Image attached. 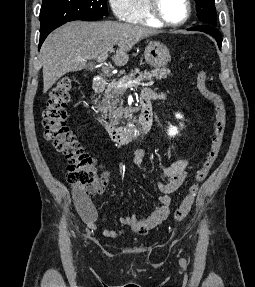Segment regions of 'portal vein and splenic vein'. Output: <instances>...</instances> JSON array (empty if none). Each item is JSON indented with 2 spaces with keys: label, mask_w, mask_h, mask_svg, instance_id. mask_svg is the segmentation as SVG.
Segmentation results:
<instances>
[{
  "label": "portal vein and splenic vein",
  "mask_w": 255,
  "mask_h": 287,
  "mask_svg": "<svg viewBox=\"0 0 255 287\" xmlns=\"http://www.w3.org/2000/svg\"><path fill=\"white\" fill-rule=\"evenodd\" d=\"M108 58V52L105 54H100L97 58V62L99 64H104L105 60ZM83 62H87V60H83ZM104 74H109V70L103 68ZM154 82H147V84H141L140 80H131V82H118L117 88H137V86H153Z\"/></svg>",
  "instance_id": "18ae733b"
}]
</instances>
